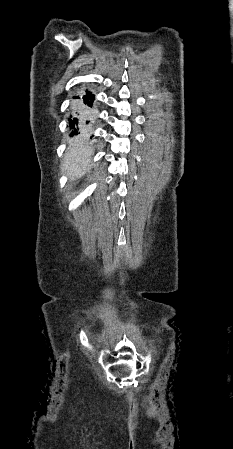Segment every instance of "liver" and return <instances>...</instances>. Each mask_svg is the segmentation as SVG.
Masks as SVG:
<instances>
[{"label":"liver","instance_id":"obj_1","mask_svg":"<svg viewBox=\"0 0 233 449\" xmlns=\"http://www.w3.org/2000/svg\"><path fill=\"white\" fill-rule=\"evenodd\" d=\"M91 149L84 137L69 141V147L62 161V171L72 181L82 177L90 167Z\"/></svg>","mask_w":233,"mask_h":449}]
</instances>
